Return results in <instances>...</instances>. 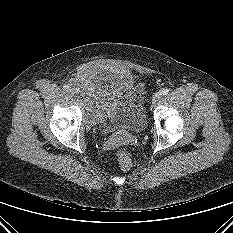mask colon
<instances>
[{"mask_svg": "<svg viewBox=\"0 0 233 233\" xmlns=\"http://www.w3.org/2000/svg\"><path fill=\"white\" fill-rule=\"evenodd\" d=\"M118 167L122 171L129 170L132 166V160L126 150H119L116 154Z\"/></svg>", "mask_w": 233, "mask_h": 233, "instance_id": "colon-1", "label": "colon"}]
</instances>
